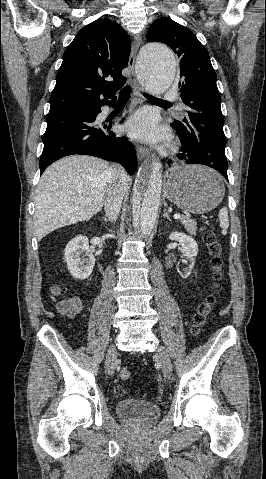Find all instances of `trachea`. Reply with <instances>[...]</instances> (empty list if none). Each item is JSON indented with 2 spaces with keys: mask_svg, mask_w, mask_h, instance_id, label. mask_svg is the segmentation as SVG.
<instances>
[{
  "mask_svg": "<svg viewBox=\"0 0 266 479\" xmlns=\"http://www.w3.org/2000/svg\"><path fill=\"white\" fill-rule=\"evenodd\" d=\"M130 92H131V88L126 86L124 87V89L120 92L119 94V99L118 101H125V100H128L129 97H130ZM144 96L150 100H153V101H156V102H162V103H168L170 104V102L168 101H165V100H162V99H158V98H155L149 94H144Z\"/></svg>",
  "mask_w": 266,
  "mask_h": 479,
  "instance_id": "3493384b",
  "label": "trachea"
}]
</instances>
